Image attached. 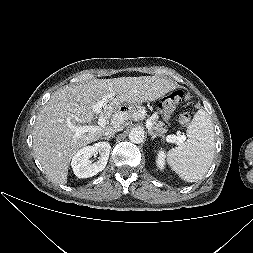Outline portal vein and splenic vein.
I'll list each match as a JSON object with an SVG mask.
<instances>
[{
  "label": "portal vein and splenic vein",
  "instance_id": "1",
  "mask_svg": "<svg viewBox=\"0 0 253 253\" xmlns=\"http://www.w3.org/2000/svg\"><path fill=\"white\" fill-rule=\"evenodd\" d=\"M106 98L100 100L99 102H97L96 104H94L92 106V110L99 115V119H98V125L99 126H79V127H73L74 131L76 132V135H80L82 133L85 132H89V131H97V129L99 127H104L107 124V119L103 116L100 115L102 108L106 102ZM113 120H123V117L121 115L118 114H114L113 115ZM153 124L152 121L150 119L146 120V127L150 130L152 128ZM185 140V137L183 135L178 134L177 136L175 135H168L166 138L167 142L170 143H180L183 142Z\"/></svg>",
  "mask_w": 253,
  "mask_h": 253
}]
</instances>
